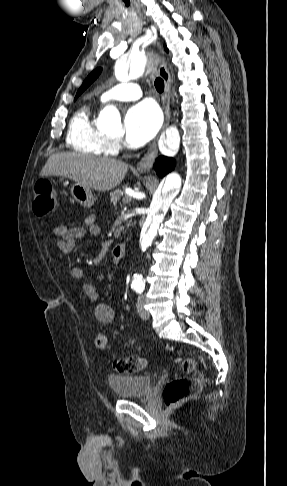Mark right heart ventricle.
Instances as JSON below:
<instances>
[{"label": "right heart ventricle", "instance_id": "obj_1", "mask_svg": "<svg viewBox=\"0 0 287 486\" xmlns=\"http://www.w3.org/2000/svg\"><path fill=\"white\" fill-rule=\"evenodd\" d=\"M66 141L70 149L83 154L108 156L114 151L109 139L94 123L90 107H83L74 114Z\"/></svg>", "mask_w": 287, "mask_h": 486}]
</instances>
